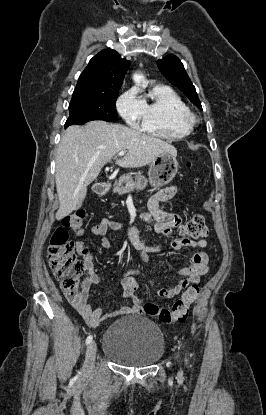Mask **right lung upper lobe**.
I'll use <instances>...</instances> for the list:
<instances>
[{"mask_svg":"<svg viewBox=\"0 0 266 415\" xmlns=\"http://www.w3.org/2000/svg\"><path fill=\"white\" fill-rule=\"evenodd\" d=\"M130 62L105 49L94 56L81 73L74 93L108 94L119 91Z\"/></svg>","mask_w":266,"mask_h":415,"instance_id":"right-lung-upper-lobe-1","label":"right lung upper lobe"}]
</instances>
